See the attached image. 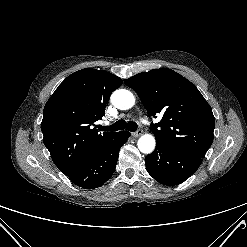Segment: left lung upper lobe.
Wrapping results in <instances>:
<instances>
[{
  "instance_id": "obj_1",
  "label": "left lung upper lobe",
  "mask_w": 247,
  "mask_h": 247,
  "mask_svg": "<svg viewBox=\"0 0 247 247\" xmlns=\"http://www.w3.org/2000/svg\"><path fill=\"white\" fill-rule=\"evenodd\" d=\"M141 98L150 116L162 114L152 124L156 142L204 158L213 141L215 119L199 90L177 72L153 69L125 79Z\"/></svg>"
}]
</instances>
